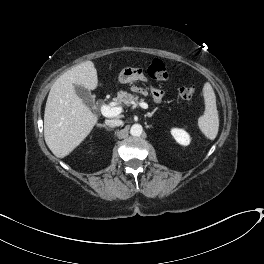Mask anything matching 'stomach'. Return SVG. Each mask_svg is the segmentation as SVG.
Wrapping results in <instances>:
<instances>
[{
    "label": "stomach",
    "instance_id": "obj_1",
    "mask_svg": "<svg viewBox=\"0 0 264 264\" xmlns=\"http://www.w3.org/2000/svg\"><path fill=\"white\" fill-rule=\"evenodd\" d=\"M143 78V74L140 68L125 67L119 74V82L122 84L133 83Z\"/></svg>",
    "mask_w": 264,
    "mask_h": 264
}]
</instances>
